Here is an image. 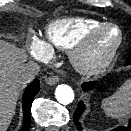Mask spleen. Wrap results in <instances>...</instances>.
Returning <instances> with one entry per match:
<instances>
[{"label": "spleen", "mask_w": 131, "mask_h": 131, "mask_svg": "<svg viewBox=\"0 0 131 131\" xmlns=\"http://www.w3.org/2000/svg\"><path fill=\"white\" fill-rule=\"evenodd\" d=\"M102 108L107 116L118 118L131 112V79L127 80L111 96L102 100Z\"/></svg>", "instance_id": "3e777b00"}]
</instances>
